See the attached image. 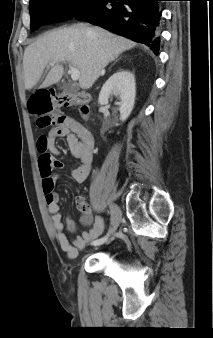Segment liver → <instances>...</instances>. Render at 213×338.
Returning <instances> with one entry per match:
<instances>
[{
  "instance_id": "obj_1",
  "label": "liver",
  "mask_w": 213,
  "mask_h": 338,
  "mask_svg": "<svg viewBox=\"0 0 213 338\" xmlns=\"http://www.w3.org/2000/svg\"><path fill=\"white\" fill-rule=\"evenodd\" d=\"M135 46L134 41L85 24L50 31L25 49V88L32 89L50 63L53 65L40 87L59 82L64 73L62 64L69 62L80 71V87L89 89L109 62Z\"/></svg>"
}]
</instances>
